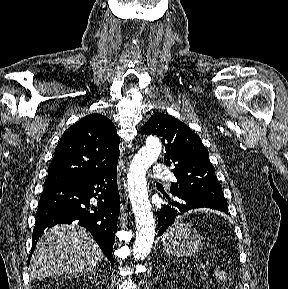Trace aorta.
<instances>
[{
  "label": "aorta",
  "mask_w": 288,
  "mask_h": 289,
  "mask_svg": "<svg viewBox=\"0 0 288 289\" xmlns=\"http://www.w3.org/2000/svg\"><path fill=\"white\" fill-rule=\"evenodd\" d=\"M162 145L157 138L147 140L133 157L127 175V189L136 219V237L133 246L135 260H143L150 253L155 238V220L146 183V172L157 160Z\"/></svg>",
  "instance_id": "1"
}]
</instances>
